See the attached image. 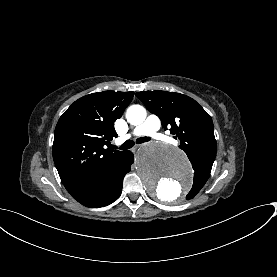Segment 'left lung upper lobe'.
Listing matches in <instances>:
<instances>
[{
	"label": "left lung upper lobe",
	"instance_id": "1",
	"mask_svg": "<svg viewBox=\"0 0 277 277\" xmlns=\"http://www.w3.org/2000/svg\"><path fill=\"white\" fill-rule=\"evenodd\" d=\"M136 96L146 108L159 116L165 130L181 141L195 171L194 182L187 199H192L210 176L217 144L210 115L192 98L175 92L142 91ZM174 137V138H176Z\"/></svg>",
	"mask_w": 277,
	"mask_h": 277
}]
</instances>
